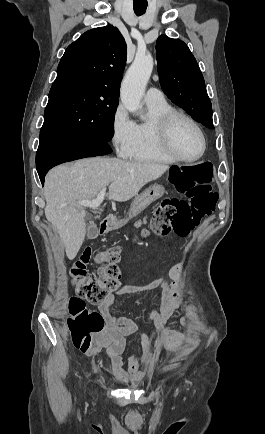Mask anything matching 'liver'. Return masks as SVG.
I'll return each instance as SVG.
<instances>
[{"label":"liver","instance_id":"liver-1","mask_svg":"<svg viewBox=\"0 0 265 434\" xmlns=\"http://www.w3.org/2000/svg\"><path fill=\"white\" fill-rule=\"evenodd\" d=\"M169 166L154 162H125L118 158H85L73 166H57L45 178V216L55 226L67 258H76L85 238L86 212L78 200H95L109 186V200L127 202L139 190L161 178ZM67 204V206H63Z\"/></svg>","mask_w":265,"mask_h":434}]
</instances>
